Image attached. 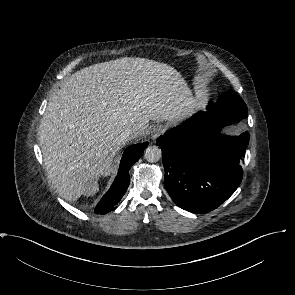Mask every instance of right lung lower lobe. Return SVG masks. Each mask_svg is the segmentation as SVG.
Returning a JSON list of instances; mask_svg holds the SVG:
<instances>
[{
    "label": "right lung lower lobe",
    "instance_id": "1",
    "mask_svg": "<svg viewBox=\"0 0 295 295\" xmlns=\"http://www.w3.org/2000/svg\"><path fill=\"white\" fill-rule=\"evenodd\" d=\"M147 146L148 143L145 142L141 144L131 145L125 150L120 162L118 174L112 186L102 197L95 208V212L97 214L103 215L115 209L116 204L119 203L129 186V170L131 166L140 159L144 152V149Z\"/></svg>",
    "mask_w": 295,
    "mask_h": 295
}]
</instances>
